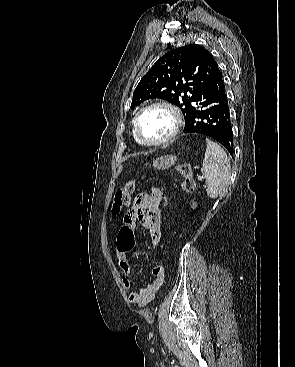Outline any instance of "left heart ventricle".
I'll return each mask as SVG.
<instances>
[{"mask_svg": "<svg viewBox=\"0 0 295 367\" xmlns=\"http://www.w3.org/2000/svg\"><path fill=\"white\" fill-rule=\"evenodd\" d=\"M173 126V117L164 108H152L146 111L139 121L140 134L147 141L163 139L170 134Z\"/></svg>", "mask_w": 295, "mask_h": 367, "instance_id": "obj_1", "label": "left heart ventricle"}]
</instances>
